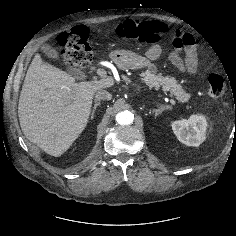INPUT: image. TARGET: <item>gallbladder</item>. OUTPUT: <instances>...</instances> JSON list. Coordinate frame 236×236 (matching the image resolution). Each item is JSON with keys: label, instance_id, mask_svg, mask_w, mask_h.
I'll return each instance as SVG.
<instances>
[{"label": "gallbladder", "instance_id": "gallbladder-1", "mask_svg": "<svg viewBox=\"0 0 236 236\" xmlns=\"http://www.w3.org/2000/svg\"><path fill=\"white\" fill-rule=\"evenodd\" d=\"M41 51L50 59H53L55 61H58L60 56L58 51L53 48L52 46H50L49 44H43L41 46ZM69 73L74 76L75 78H81L83 76L82 72L80 71V69H78L77 67H72L69 70Z\"/></svg>", "mask_w": 236, "mask_h": 236}]
</instances>
